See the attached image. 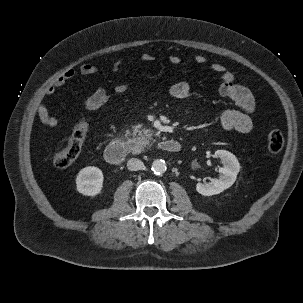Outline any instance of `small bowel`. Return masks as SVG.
I'll list each match as a JSON object with an SVG mask.
<instances>
[{"mask_svg":"<svg viewBox=\"0 0 303 303\" xmlns=\"http://www.w3.org/2000/svg\"><path fill=\"white\" fill-rule=\"evenodd\" d=\"M155 60V56L149 53L141 54L137 57L122 58L114 62L112 71L118 73L127 63L140 62L148 63ZM198 65H206L207 58L198 54L193 58ZM169 62L175 67L182 66V60L179 56L171 55ZM211 72L221 75V83L219 85V93L222 97L231 101L238 109H225L219 114L221 126L226 130H233L239 133H249L253 128L251 114L255 109V100L249 88L236 82L235 76L226 70V67L219 63L213 62L208 65ZM100 71L99 66L91 63H84L80 66V73L85 76L97 74ZM76 72L68 69L62 73L55 81L46 88L45 95H53L56 90L62 87L69 80L74 78ZM129 88L127 83H117L113 86L112 91L116 94H123ZM104 94H110L105 87H98L94 93L83 101L86 105L89 100L100 97ZM170 94L178 100H186L192 96V89L189 83L180 81L170 87ZM37 115L40 121L47 127H55L57 119L48 111L44 104H40L37 108Z\"/></svg>","mask_w":303,"mask_h":303,"instance_id":"c3829d8e","label":"small bowel"}]
</instances>
